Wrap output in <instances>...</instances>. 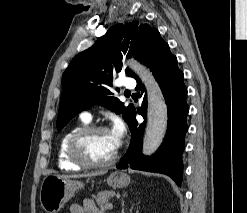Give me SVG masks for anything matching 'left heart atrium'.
<instances>
[{"instance_id":"obj_1","label":"left heart atrium","mask_w":247,"mask_h":213,"mask_svg":"<svg viewBox=\"0 0 247 213\" xmlns=\"http://www.w3.org/2000/svg\"><path fill=\"white\" fill-rule=\"evenodd\" d=\"M109 132L113 138L116 148H118L122 142L125 133L123 123L120 120H115Z\"/></svg>"}]
</instances>
